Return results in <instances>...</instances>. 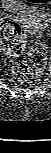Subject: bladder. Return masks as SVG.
Listing matches in <instances>:
<instances>
[{
    "label": "bladder",
    "instance_id": "31cf9c89",
    "mask_svg": "<svg viewBox=\"0 0 51 153\" xmlns=\"http://www.w3.org/2000/svg\"><path fill=\"white\" fill-rule=\"evenodd\" d=\"M18 1L17 0H2V5L3 7L8 10V11H11V12H16L18 11ZM33 9L31 7H28V6H25L23 8V12H26V13H29L31 12Z\"/></svg>",
    "mask_w": 51,
    "mask_h": 153
}]
</instances>
